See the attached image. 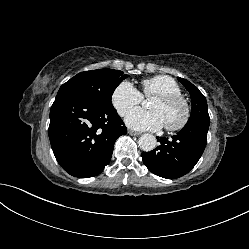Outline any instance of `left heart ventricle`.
<instances>
[{"label": "left heart ventricle", "mask_w": 249, "mask_h": 249, "mask_svg": "<svg viewBox=\"0 0 249 249\" xmlns=\"http://www.w3.org/2000/svg\"><path fill=\"white\" fill-rule=\"evenodd\" d=\"M149 107L161 115L165 124H176L183 116V108L180 104H165L153 99Z\"/></svg>", "instance_id": "obj_1"}]
</instances>
